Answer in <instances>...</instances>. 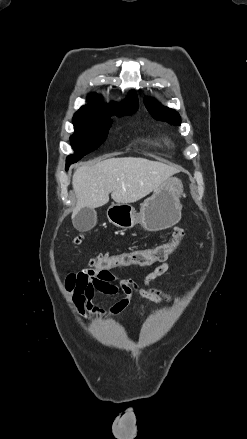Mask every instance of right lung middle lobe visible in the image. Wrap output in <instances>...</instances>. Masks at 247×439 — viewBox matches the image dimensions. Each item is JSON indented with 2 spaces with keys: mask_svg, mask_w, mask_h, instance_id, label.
Wrapping results in <instances>:
<instances>
[{
  "mask_svg": "<svg viewBox=\"0 0 247 439\" xmlns=\"http://www.w3.org/2000/svg\"><path fill=\"white\" fill-rule=\"evenodd\" d=\"M136 110L133 109L116 115H131ZM111 123L110 116L74 115L75 133L70 137V141L75 154L67 157L66 169L70 164L77 162L105 141Z\"/></svg>",
  "mask_w": 247,
  "mask_h": 439,
  "instance_id": "dd1d6c3e",
  "label": "right lung middle lobe"
}]
</instances>
